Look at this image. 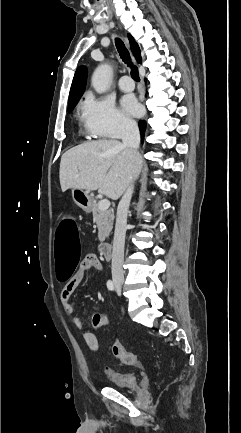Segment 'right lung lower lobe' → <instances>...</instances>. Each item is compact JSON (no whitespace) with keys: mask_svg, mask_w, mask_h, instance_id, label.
<instances>
[{"mask_svg":"<svg viewBox=\"0 0 241 433\" xmlns=\"http://www.w3.org/2000/svg\"><path fill=\"white\" fill-rule=\"evenodd\" d=\"M145 127H146V122L145 121H140L139 122V128H140V133H141V141L143 142V137L145 135Z\"/></svg>","mask_w":241,"mask_h":433,"instance_id":"1","label":"right lung lower lobe"}]
</instances>
